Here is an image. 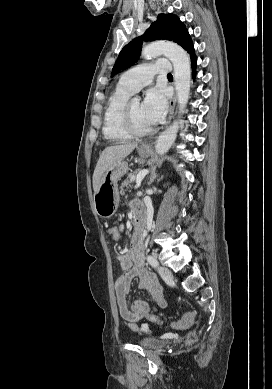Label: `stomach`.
<instances>
[{"label":"stomach","instance_id":"1","mask_svg":"<svg viewBox=\"0 0 272 389\" xmlns=\"http://www.w3.org/2000/svg\"><path fill=\"white\" fill-rule=\"evenodd\" d=\"M138 153L142 158L151 155V149L139 147ZM128 171V163L120 161L109 167L103 175L100 186L94 194V207L97 215L102 218H110L117 211L120 197L118 181Z\"/></svg>","mask_w":272,"mask_h":389}]
</instances>
